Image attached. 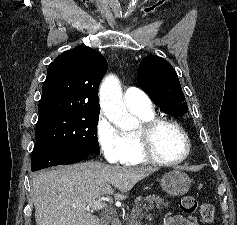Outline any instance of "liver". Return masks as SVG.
I'll return each instance as SVG.
<instances>
[{
  "label": "liver",
  "mask_w": 237,
  "mask_h": 225,
  "mask_svg": "<svg viewBox=\"0 0 237 225\" xmlns=\"http://www.w3.org/2000/svg\"><path fill=\"white\" fill-rule=\"evenodd\" d=\"M152 167H119L96 161L41 171L33 177L36 225H102L87 211L104 195L123 199L133 186L154 173Z\"/></svg>",
  "instance_id": "6515ba94"
}]
</instances>
